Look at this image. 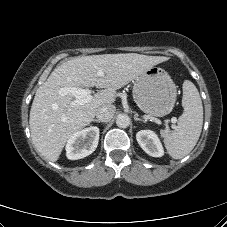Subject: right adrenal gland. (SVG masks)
<instances>
[{
    "instance_id": "2a0ac1e0",
    "label": "right adrenal gland",
    "mask_w": 227,
    "mask_h": 227,
    "mask_svg": "<svg viewBox=\"0 0 227 227\" xmlns=\"http://www.w3.org/2000/svg\"><path fill=\"white\" fill-rule=\"evenodd\" d=\"M92 121H93V122H96V123H101V124H103V122L100 121V120H98V119H93Z\"/></svg>"
}]
</instances>
